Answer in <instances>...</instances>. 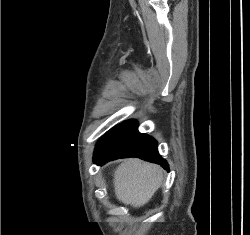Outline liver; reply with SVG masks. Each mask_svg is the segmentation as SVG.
<instances>
[{
    "mask_svg": "<svg viewBox=\"0 0 250 235\" xmlns=\"http://www.w3.org/2000/svg\"><path fill=\"white\" fill-rule=\"evenodd\" d=\"M161 182L162 169L139 159L124 160L114 172L116 198L134 208L145 205Z\"/></svg>",
    "mask_w": 250,
    "mask_h": 235,
    "instance_id": "1",
    "label": "liver"
}]
</instances>
